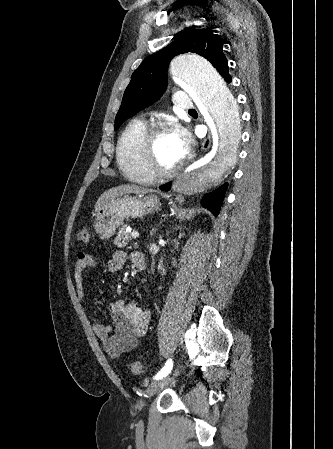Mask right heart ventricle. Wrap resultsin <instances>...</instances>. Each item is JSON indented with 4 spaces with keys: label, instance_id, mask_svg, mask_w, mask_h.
<instances>
[{
    "label": "right heart ventricle",
    "instance_id": "e07e8e85",
    "mask_svg": "<svg viewBox=\"0 0 333 449\" xmlns=\"http://www.w3.org/2000/svg\"><path fill=\"white\" fill-rule=\"evenodd\" d=\"M148 125L143 120L131 121L123 130L116 146V161L123 175L130 181L142 184L153 182V178L145 170L141 142Z\"/></svg>",
    "mask_w": 333,
    "mask_h": 449
}]
</instances>
